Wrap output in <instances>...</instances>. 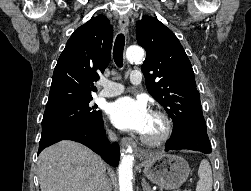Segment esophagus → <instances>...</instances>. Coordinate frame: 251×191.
I'll list each match as a JSON object with an SVG mask.
<instances>
[{"label":"esophagus","mask_w":251,"mask_h":191,"mask_svg":"<svg viewBox=\"0 0 251 191\" xmlns=\"http://www.w3.org/2000/svg\"><path fill=\"white\" fill-rule=\"evenodd\" d=\"M119 25H120V29L122 30V32L127 33L128 26H129V18L127 16L120 17ZM121 145L123 147L133 146L134 148L136 146L134 140L132 138H130L129 136H124V138L121 139Z\"/></svg>","instance_id":"esophagus-1"}]
</instances>
